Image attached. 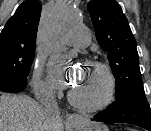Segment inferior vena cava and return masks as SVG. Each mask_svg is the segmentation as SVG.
Masks as SVG:
<instances>
[{
    "label": "inferior vena cava",
    "mask_w": 151,
    "mask_h": 131,
    "mask_svg": "<svg viewBox=\"0 0 151 131\" xmlns=\"http://www.w3.org/2000/svg\"><path fill=\"white\" fill-rule=\"evenodd\" d=\"M41 102L42 105L47 110V112H49L52 115L55 124H59L61 122V118L59 116L58 106L53 94L46 91L44 93V98L41 100Z\"/></svg>",
    "instance_id": "1"
}]
</instances>
